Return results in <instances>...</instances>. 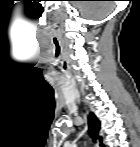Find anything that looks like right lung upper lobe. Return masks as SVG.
I'll return each instance as SVG.
<instances>
[{"instance_id": "obj_1", "label": "right lung upper lobe", "mask_w": 140, "mask_h": 147, "mask_svg": "<svg viewBox=\"0 0 140 147\" xmlns=\"http://www.w3.org/2000/svg\"><path fill=\"white\" fill-rule=\"evenodd\" d=\"M88 126H89V132H90L91 137L93 139L99 138L100 146L104 147V145L102 144V138L99 137L100 122L93 113H90L89 115Z\"/></svg>"}]
</instances>
